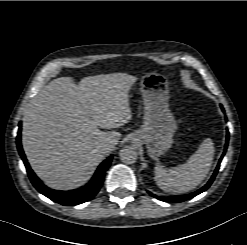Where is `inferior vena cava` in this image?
I'll list each match as a JSON object with an SVG mask.
<instances>
[{"instance_id":"inferior-vena-cava-1","label":"inferior vena cava","mask_w":247,"mask_h":245,"mask_svg":"<svg viewBox=\"0 0 247 245\" xmlns=\"http://www.w3.org/2000/svg\"><path fill=\"white\" fill-rule=\"evenodd\" d=\"M100 147L102 151L111 152L114 149L115 144L111 141H108V142L101 144Z\"/></svg>"}]
</instances>
